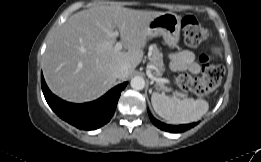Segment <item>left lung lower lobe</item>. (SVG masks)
Wrapping results in <instances>:
<instances>
[{"label":"left lung lower lobe","mask_w":261,"mask_h":162,"mask_svg":"<svg viewBox=\"0 0 261 162\" xmlns=\"http://www.w3.org/2000/svg\"><path fill=\"white\" fill-rule=\"evenodd\" d=\"M148 114L150 117L151 122L157 126L158 128H160L161 130L167 131V132H174V133H179V132H183L186 131L192 127H194L197 123H191V124H184V125H168L165 124L163 122L158 121L157 119H155L151 113L148 110Z\"/></svg>","instance_id":"1"}]
</instances>
